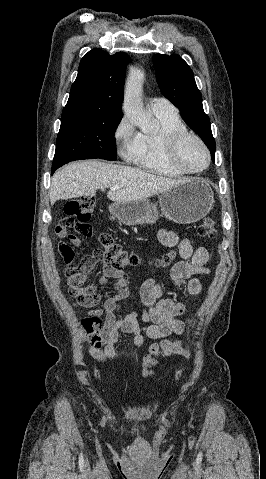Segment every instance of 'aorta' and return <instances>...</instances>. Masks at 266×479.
<instances>
[{"label": "aorta", "mask_w": 266, "mask_h": 479, "mask_svg": "<svg viewBox=\"0 0 266 479\" xmlns=\"http://www.w3.org/2000/svg\"><path fill=\"white\" fill-rule=\"evenodd\" d=\"M144 74L138 69H132L125 88L123 110L129 121L142 131H152L157 127V121L143 106L141 99Z\"/></svg>", "instance_id": "1"}]
</instances>
